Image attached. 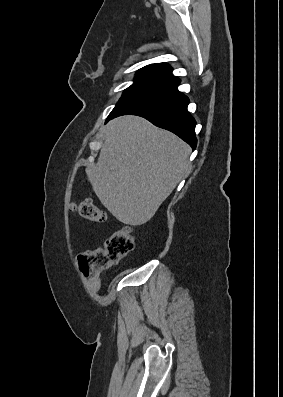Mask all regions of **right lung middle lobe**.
I'll list each match as a JSON object with an SVG mask.
<instances>
[{
    "label": "right lung middle lobe",
    "instance_id": "right-lung-middle-lobe-1",
    "mask_svg": "<svg viewBox=\"0 0 283 397\" xmlns=\"http://www.w3.org/2000/svg\"><path fill=\"white\" fill-rule=\"evenodd\" d=\"M171 86L168 82L153 80L144 75L137 74L134 83L125 89L119 102L107 117L106 122L115 114L126 108L127 106L155 94L167 87Z\"/></svg>",
    "mask_w": 283,
    "mask_h": 397
}]
</instances>
